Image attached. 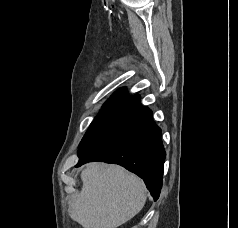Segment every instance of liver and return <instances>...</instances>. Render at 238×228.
I'll list each match as a JSON object with an SVG mask.
<instances>
[{"instance_id": "6515ba94", "label": "liver", "mask_w": 238, "mask_h": 228, "mask_svg": "<svg viewBox=\"0 0 238 228\" xmlns=\"http://www.w3.org/2000/svg\"><path fill=\"white\" fill-rule=\"evenodd\" d=\"M81 180L82 189L70 200L68 211L83 228H117L145 205L144 182L118 165L90 163Z\"/></svg>"}]
</instances>
